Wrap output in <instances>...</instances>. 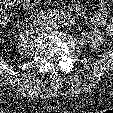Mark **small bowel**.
<instances>
[{
	"label": "small bowel",
	"instance_id": "small-bowel-1",
	"mask_svg": "<svg viewBox=\"0 0 113 113\" xmlns=\"http://www.w3.org/2000/svg\"><path fill=\"white\" fill-rule=\"evenodd\" d=\"M40 1L41 0L37 1L23 0V3L27 8H31L37 5ZM109 1L110 0H99V7L93 12H91L89 18L90 22L98 27H101L105 34L113 36V19L112 21H107L106 19ZM71 10L78 14L82 13L81 6L77 4L72 5Z\"/></svg>",
	"mask_w": 113,
	"mask_h": 113
}]
</instances>
